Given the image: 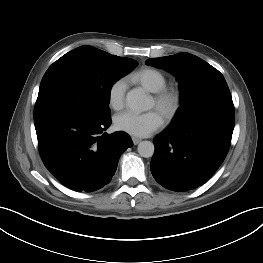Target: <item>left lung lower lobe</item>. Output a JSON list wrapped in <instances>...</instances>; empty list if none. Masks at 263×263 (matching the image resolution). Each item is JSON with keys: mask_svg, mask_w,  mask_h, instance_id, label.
<instances>
[{"mask_svg": "<svg viewBox=\"0 0 263 263\" xmlns=\"http://www.w3.org/2000/svg\"><path fill=\"white\" fill-rule=\"evenodd\" d=\"M234 129V110H216L171 123L154 138V179L183 192L207 182L224 161Z\"/></svg>", "mask_w": 263, "mask_h": 263, "instance_id": "left-lung-lower-lobe-1", "label": "left lung lower lobe"}]
</instances>
